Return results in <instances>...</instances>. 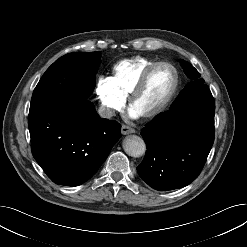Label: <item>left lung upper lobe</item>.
Wrapping results in <instances>:
<instances>
[{
  "label": "left lung upper lobe",
  "instance_id": "5c2ea615",
  "mask_svg": "<svg viewBox=\"0 0 247 247\" xmlns=\"http://www.w3.org/2000/svg\"><path fill=\"white\" fill-rule=\"evenodd\" d=\"M181 65L183 67V70L185 72V74L192 79L193 81L190 82L183 90L182 92L179 94V96L177 97V99L175 100V102L180 101L181 99H183L184 97H186L187 95H189L191 92H193L194 90H196L198 87H200L201 85H203L204 80L200 79V74L198 73V71L188 62L181 60ZM174 102V103H175Z\"/></svg>",
  "mask_w": 247,
  "mask_h": 247
}]
</instances>
